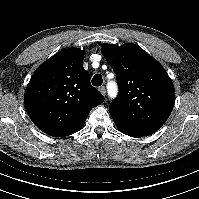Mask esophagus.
<instances>
[{"mask_svg":"<svg viewBox=\"0 0 199 199\" xmlns=\"http://www.w3.org/2000/svg\"><path fill=\"white\" fill-rule=\"evenodd\" d=\"M99 91L103 94V96L106 95V88L104 86L99 87Z\"/></svg>","mask_w":199,"mask_h":199,"instance_id":"obj_1","label":"esophagus"}]
</instances>
